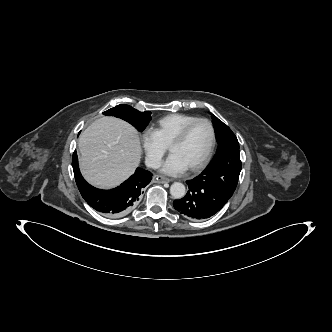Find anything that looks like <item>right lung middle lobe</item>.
<instances>
[{
    "mask_svg": "<svg viewBox=\"0 0 332 332\" xmlns=\"http://www.w3.org/2000/svg\"><path fill=\"white\" fill-rule=\"evenodd\" d=\"M104 115L115 116L132 124L138 131L142 132L151 120V112H140L125 104L117 105L105 112Z\"/></svg>",
    "mask_w": 332,
    "mask_h": 332,
    "instance_id": "obj_1",
    "label": "right lung middle lobe"
}]
</instances>
